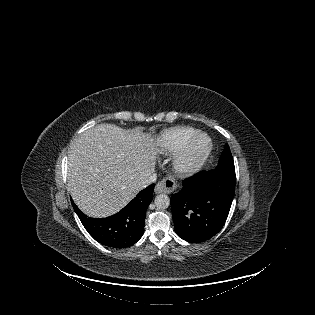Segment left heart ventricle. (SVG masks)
<instances>
[{
	"label": "left heart ventricle",
	"instance_id": "left-heart-ventricle-1",
	"mask_svg": "<svg viewBox=\"0 0 315 315\" xmlns=\"http://www.w3.org/2000/svg\"><path fill=\"white\" fill-rule=\"evenodd\" d=\"M203 144V140L198 141V146H201Z\"/></svg>",
	"mask_w": 315,
	"mask_h": 315
}]
</instances>
